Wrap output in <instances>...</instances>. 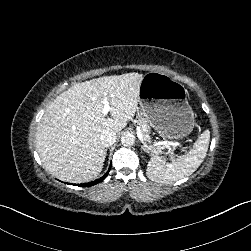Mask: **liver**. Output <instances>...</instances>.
<instances>
[{
	"instance_id": "obj_1",
	"label": "liver",
	"mask_w": 251,
	"mask_h": 251,
	"mask_svg": "<svg viewBox=\"0 0 251 251\" xmlns=\"http://www.w3.org/2000/svg\"><path fill=\"white\" fill-rule=\"evenodd\" d=\"M143 75L132 72L75 84L48 107L36 128V148L44 168L71 183L94 180L102 171L106 150L101 132H119L137 108ZM112 95L111 117L101 114L102 96Z\"/></svg>"
}]
</instances>
